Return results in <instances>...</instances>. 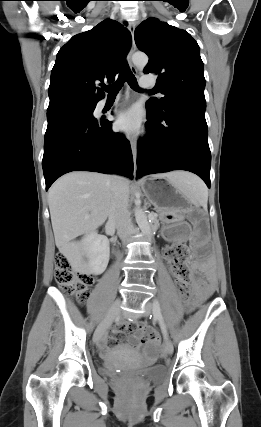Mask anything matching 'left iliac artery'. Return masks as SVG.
<instances>
[{"instance_id":"44dca946","label":"left iliac artery","mask_w":261,"mask_h":427,"mask_svg":"<svg viewBox=\"0 0 261 427\" xmlns=\"http://www.w3.org/2000/svg\"><path fill=\"white\" fill-rule=\"evenodd\" d=\"M153 314H154V317L159 321L163 335L166 338L167 329H166V325H165V322H164V319H163V316L161 313L160 304L157 300H154V302H153Z\"/></svg>"}]
</instances>
